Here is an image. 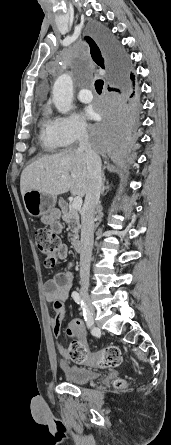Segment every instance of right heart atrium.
<instances>
[{"label":"right heart atrium","instance_id":"right-heart-atrium-1","mask_svg":"<svg viewBox=\"0 0 171 445\" xmlns=\"http://www.w3.org/2000/svg\"><path fill=\"white\" fill-rule=\"evenodd\" d=\"M57 134L64 145H72L89 135L88 125L76 114L59 116L54 120Z\"/></svg>","mask_w":171,"mask_h":445}]
</instances>
